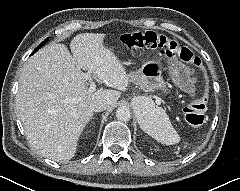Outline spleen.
I'll return each mask as SVG.
<instances>
[{
  "mask_svg": "<svg viewBox=\"0 0 240 191\" xmlns=\"http://www.w3.org/2000/svg\"><path fill=\"white\" fill-rule=\"evenodd\" d=\"M142 129L156 141L166 145H173L180 141L166 112L163 109L155 108L153 104L146 108Z\"/></svg>",
  "mask_w": 240,
  "mask_h": 191,
  "instance_id": "spleen-1",
  "label": "spleen"
}]
</instances>
